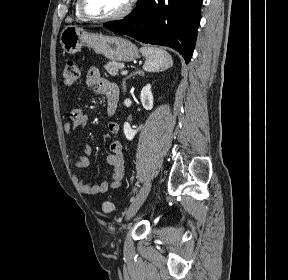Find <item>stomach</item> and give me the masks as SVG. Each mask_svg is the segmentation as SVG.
I'll return each mask as SVG.
<instances>
[{
	"instance_id": "1",
	"label": "stomach",
	"mask_w": 288,
	"mask_h": 280,
	"mask_svg": "<svg viewBox=\"0 0 288 280\" xmlns=\"http://www.w3.org/2000/svg\"><path fill=\"white\" fill-rule=\"evenodd\" d=\"M60 43L68 54H75L87 46L113 62L132 61L139 56L137 46L122 37L89 33L76 25L64 27Z\"/></svg>"
}]
</instances>
